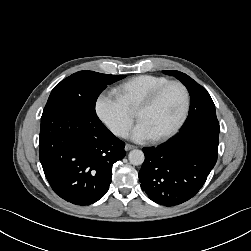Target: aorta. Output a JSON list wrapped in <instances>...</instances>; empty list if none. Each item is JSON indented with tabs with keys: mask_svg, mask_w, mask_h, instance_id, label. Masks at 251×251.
Masks as SVG:
<instances>
[{
	"mask_svg": "<svg viewBox=\"0 0 251 251\" xmlns=\"http://www.w3.org/2000/svg\"><path fill=\"white\" fill-rule=\"evenodd\" d=\"M128 159L132 165H141L145 160V156L143 151L134 149L129 152Z\"/></svg>",
	"mask_w": 251,
	"mask_h": 251,
	"instance_id": "obj_1",
	"label": "aorta"
}]
</instances>
